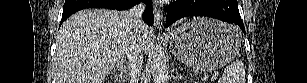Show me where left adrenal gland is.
<instances>
[{"mask_svg":"<svg viewBox=\"0 0 307 83\" xmlns=\"http://www.w3.org/2000/svg\"><path fill=\"white\" fill-rule=\"evenodd\" d=\"M171 75L175 80H180L182 78L181 74H178L177 70L174 68L172 69Z\"/></svg>","mask_w":307,"mask_h":83,"instance_id":"obj_1","label":"left adrenal gland"}]
</instances>
